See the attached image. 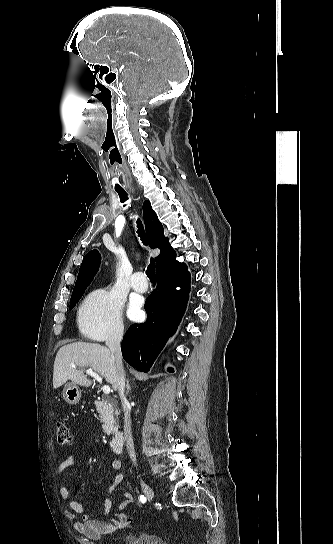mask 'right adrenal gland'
Segmentation results:
<instances>
[{
    "mask_svg": "<svg viewBox=\"0 0 333 544\" xmlns=\"http://www.w3.org/2000/svg\"><path fill=\"white\" fill-rule=\"evenodd\" d=\"M127 384H126V388H127V391H126V394H128V392L130 391L131 387H130V384H129V380L127 379Z\"/></svg>",
    "mask_w": 333,
    "mask_h": 544,
    "instance_id": "2a0ac1e0",
    "label": "right adrenal gland"
}]
</instances>
